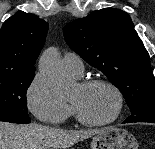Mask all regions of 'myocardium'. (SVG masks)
<instances>
[{"mask_svg":"<svg viewBox=\"0 0 155 149\" xmlns=\"http://www.w3.org/2000/svg\"><path fill=\"white\" fill-rule=\"evenodd\" d=\"M82 88H90L93 86H105L108 89L112 91V93L115 96L116 99V107L113 115L104 120V121H92L87 118H85L80 111L77 109V107L74 104H70L72 112L76 118V120L85 126H90V127H101V126H106L109 125L113 122H115L121 115L124 107V97L121 92V90L111 81L106 80V79H101V78H93V79H87L82 81L79 84Z\"/></svg>","mask_w":155,"mask_h":149,"instance_id":"f54148a6","label":"myocardium"}]
</instances>
